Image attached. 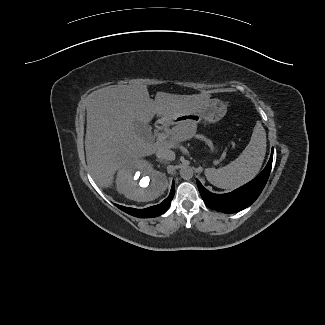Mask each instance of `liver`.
<instances>
[{"instance_id":"1","label":"liver","mask_w":325,"mask_h":325,"mask_svg":"<svg viewBox=\"0 0 325 325\" xmlns=\"http://www.w3.org/2000/svg\"><path fill=\"white\" fill-rule=\"evenodd\" d=\"M210 94L177 95L157 92L149 97L145 85L108 86L91 93L87 103L86 160L90 175L104 188L113 185L115 173L136 164L158 149L175 148L191 139L197 125L178 124L169 141H147L135 132L134 122L148 124L157 114L163 121L188 114L210 100Z\"/></svg>"}]
</instances>
